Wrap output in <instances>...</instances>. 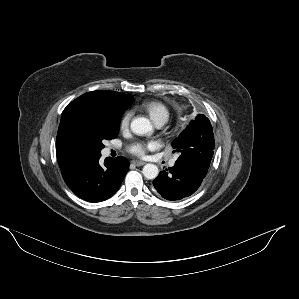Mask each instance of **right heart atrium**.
Segmentation results:
<instances>
[{"mask_svg":"<svg viewBox=\"0 0 299 299\" xmlns=\"http://www.w3.org/2000/svg\"><path fill=\"white\" fill-rule=\"evenodd\" d=\"M131 118H132V111L131 110L126 111L121 117L120 128L126 129L129 126Z\"/></svg>","mask_w":299,"mask_h":299,"instance_id":"d8ad5b80","label":"right heart atrium"}]
</instances>
